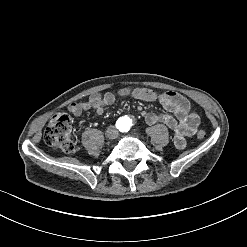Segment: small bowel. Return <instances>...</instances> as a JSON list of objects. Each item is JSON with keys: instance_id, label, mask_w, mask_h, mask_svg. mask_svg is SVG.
<instances>
[{"instance_id": "c3829d8e", "label": "small bowel", "mask_w": 247, "mask_h": 247, "mask_svg": "<svg viewBox=\"0 0 247 247\" xmlns=\"http://www.w3.org/2000/svg\"><path fill=\"white\" fill-rule=\"evenodd\" d=\"M122 103L124 95L106 92L105 94H93L87 101L75 102L69 105L68 110L74 116H80L88 110H94L102 114L106 107L115 103ZM169 113L161 114L141 110V116L148 125L163 123L174 132V145L176 149L183 150L186 147V138L195 134V128L199 126V115L190 113V104L186 98L178 93L169 91L160 93L156 101ZM191 114V115H190ZM190 125H189V124Z\"/></svg>"}]
</instances>
